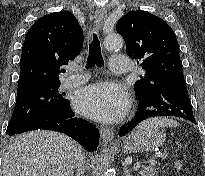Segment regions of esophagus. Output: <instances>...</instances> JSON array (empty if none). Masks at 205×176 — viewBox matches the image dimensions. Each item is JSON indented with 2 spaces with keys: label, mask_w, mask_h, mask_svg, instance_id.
<instances>
[{
  "label": "esophagus",
  "mask_w": 205,
  "mask_h": 176,
  "mask_svg": "<svg viewBox=\"0 0 205 176\" xmlns=\"http://www.w3.org/2000/svg\"><path fill=\"white\" fill-rule=\"evenodd\" d=\"M107 18V11L104 7H101L96 10L95 12V20L94 24L98 29H101L104 21ZM100 136L102 139L103 144H108L114 138V132L109 127H100Z\"/></svg>",
  "instance_id": "obj_1"
}]
</instances>
